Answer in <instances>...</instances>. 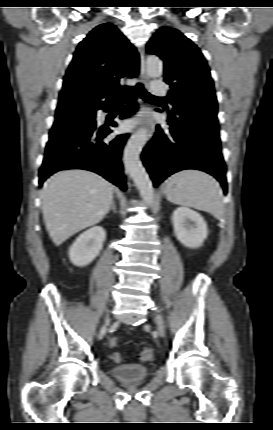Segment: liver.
<instances>
[{"label":"liver","instance_id":"liver-1","mask_svg":"<svg viewBox=\"0 0 273 430\" xmlns=\"http://www.w3.org/2000/svg\"><path fill=\"white\" fill-rule=\"evenodd\" d=\"M43 219L55 245L99 223L113 202V185L84 169L62 170L41 190Z\"/></svg>","mask_w":273,"mask_h":430}]
</instances>
